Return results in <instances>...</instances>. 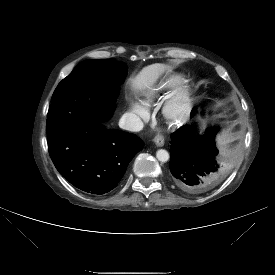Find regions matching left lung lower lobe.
I'll use <instances>...</instances> for the list:
<instances>
[{
    "label": "left lung lower lobe",
    "mask_w": 275,
    "mask_h": 275,
    "mask_svg": "<svg viewBox=\"0 0 275 275\" xmlns=\"http://www.w3.org/2000/svg\"><path fill=\"white\" fill-rule=\"evenodd\" d=\"M218 130L213 127L200 137L192 127H184L171 134V178L183 191L195 192L219 178L215 147Z\"/></svg>",
    "instance_id": "obj_1"
}]
</instances>
